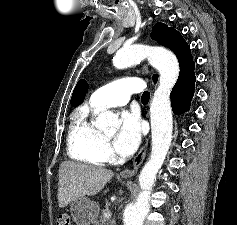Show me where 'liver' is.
<instances>
[{"instance_id":"liver-1","label":"liver","mask_w":237,"mask_h":225,"mask_svg":"<svg viewBox=\"0 0 237 225\" xmlns=\"http://www.w3.org/2000/svg\"><path fill=\"white\" fill-rule=\"evenodd\" d=\"M111 170L72 161L59 166L58 205L66 207L79 197L93 196L100 192L113 177Z\"/></svg>"}]
</instances>
